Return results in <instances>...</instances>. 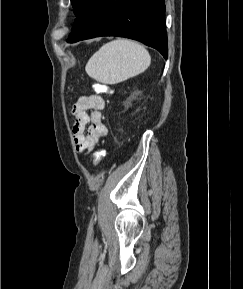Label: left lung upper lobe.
Returning <instances> with one entry per match:
<instances>
[{"label": "left lung upper lobe", "mask_w": 243, "mask_h": 289, "mask_svg": "<svg viewBox=\"0 0 243 289\" xmlns=\"http://www.w3.org/2000/svg\"><path fill=\"white\" fill-rule=\"evenodd\" d=\"M88 2L89 0H71L74 13L76 15H79L82 12V10L85 8Z\"/></svg>", "instance_id": "left-lung-upper-lobe-1"}]
</instances>
